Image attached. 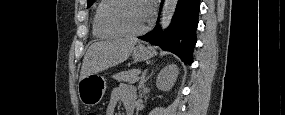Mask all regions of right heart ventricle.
<instances>
[{
	"instance_id": "right-heart-ventricle-1",
	"label": "right heart ventricle",
	"mask_w": 285,
	"mask_h": 115,
	"mask_svg": "<svg viewBox=\"0 0 285 115\" xmlns=\"http://www.w3.org/2000/svg\"><path fill=\"white\" fill-rule=\"evenodd\" d=\"M110 1L111 0L99 1L94 10L92 19V33L96 38L116 39L121 36V34L118 32L106 27L101 20L102 10Z\"/></svg>"
}]
</instances>
